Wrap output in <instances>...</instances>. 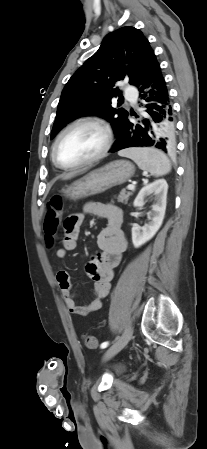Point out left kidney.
<instances>
[{
	"label": "left kidney",
	"instance_id": "5707ae66",
	"mask_svg": "<svg viewBox=\"0 0 207 449\" xmlns=\"http://www.w3.org/2000/svg\"><path fill=\"white\" fill-rule=\"evenodd\" d=\"M167 192L168 184L166 180L158 179L144 186L135 198L134 206L142 208L147 196H155V204L152 205V212L148 214L150 222L143 227L137 224L132 227V242L135 248H139L149 241L161 227L165 216Z\"/></svg>",
	"mask_w": 207,
	"mask_h": 449
}]
</instances>
